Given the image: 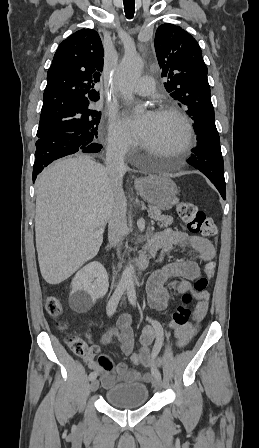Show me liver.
Instances as JSON below:
<instances>
[{"instance_id":"liver-1","label":"liver","mask_w":259,"mask_h":448,"mask_svg":"<svg viewBox=\"0 0 259 448\" xmlns=\"http://www.w3.org/2000/svg\"><path fill=\"white\" fill-rule=\"evenodd\" d=\"M121 180V178H120ZM35 234L40 272L60 284L97 256L119 188L107 168L90 156H67L39 174Z\"/></svg>"}]
</instances>
